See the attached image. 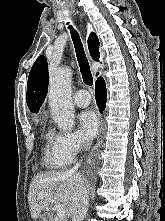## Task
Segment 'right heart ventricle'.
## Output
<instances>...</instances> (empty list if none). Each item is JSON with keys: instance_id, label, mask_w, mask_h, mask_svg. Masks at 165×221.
<instances>
[{"instance_id": "right-heart-ventricle-1", "label": "right heart ventricle", "mask_w": 165, "mask_h": 221, "mask_svg": "<svg viewBox=\"0 0 165 221\" xmlns=\"http://www.w3.org/2000/svg\"><path fill=\"white\" fill-rule=\"evenodd\" d=\"M44 161L49 168L60 169L70 164L71 161L58 155L54 148V136L48 133L45 137Z\"/></svg>"}]
</instances>
